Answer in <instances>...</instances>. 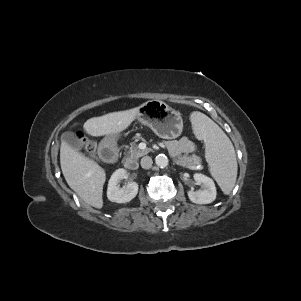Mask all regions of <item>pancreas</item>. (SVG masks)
I'll return each mask as SVG.
<instances>
[{
	"mask_svg": "<svg viewBox=\"0 0 301 301\" xmlns=\"http://www.w3.org/2000/svg\"><path fill=\"white\" fill-rule=\"evenodd\" d=\"M149 150H140L135 142L130 143L129 152L127 153V158L134 160L138 159L141 156L148 154ZM176 163L192 169L194 166L199 165L201 163L200 157L196 155L192 156H182L176 160Z\"/></svg>",
	"mask_w": 301,
	"mask_h": 301,
	"instance_id": "pancreas-1",
	"label": "pancreas"
}]
</instances>
